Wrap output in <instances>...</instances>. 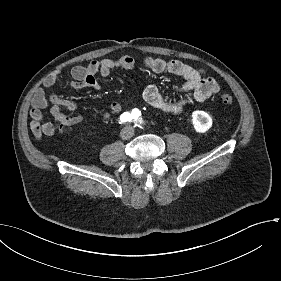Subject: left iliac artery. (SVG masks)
Returning a JSON list of instances; mask_svg holds the SVG:
<instances>
[{"instance_id":"obj_1","label":"left iliac artery","mask_w":281,"mask_h":281,"mask_svg":"<svg viewBox=\"0 0 281 281\" xmlns=\"http://www.w3.org/2000/svg\"><path fill=\"white\" fill-rule=\"evenodd\" d=\"M140 111L138 109H133L132 111V117L133 119H137L140 116Z\"/></svg>"}]
</instances>
